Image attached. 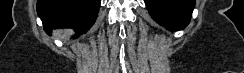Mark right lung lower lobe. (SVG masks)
Masks as SVG:
<instances>
[{"mask_svg": "<svg viewBox=\"0 0 244 73\" xmlns=\"http://www.w3.org/2000/svg\"><path fill=\"white\" fill-rule=\"evenodd\" d=\"M99 6L100 0H38L37 13L47 33L73 28L79 36L94 24Z\"/></svg>", "mask_w": 244, "mask_h": 73, "instance_id": "obj_1", "label": "right lung lower lobe"}]
</instances>
